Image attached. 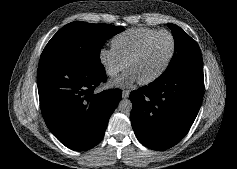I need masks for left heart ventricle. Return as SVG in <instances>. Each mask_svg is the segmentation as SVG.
<instances>
[{
	"label": "left heart ventricle",
	"instance_id": "b2bd125f",
	"mask_svg": "<svg viewBox=\"0 0 237 169\" xmlns=\"http://www.w3.org/2000/svg\"><path fill=\"white\" fill-rule=\"evenodd\" d=\"M171 51V39L167 34L155 37L142 54L130 65L137 80H143L158 72L165 64Z\"/></svg>",
	"mask_w": 237,
	"mask_h": 169
}]
</instances>
